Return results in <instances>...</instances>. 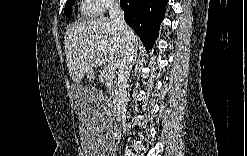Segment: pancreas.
Listing matches in <instances>:
<instances>
[{"mask_svg": "<svg viewBox=\"0 0 247 156\" xmlns=\"http://www.w3.org/2000/svg\"><path fill=\"white\" fill-rule=\"evenodd\" d=\"M100 80L106 84L107 91H111L112 83H113L112 75L111 74L101 73Z\"/></svg>", "mask_w": 247, "mask_h": 156, "instance_id": "cf45deb5", "label": "pancreas"}]
</instances>
